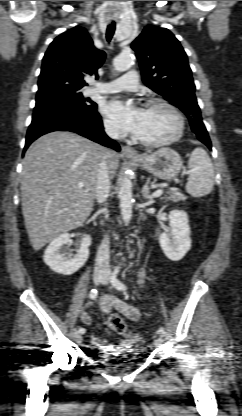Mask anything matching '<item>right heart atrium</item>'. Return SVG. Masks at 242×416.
Here are the masks:
<instances>
[{"label":"right heart atrium","mask_w":242,"mask_h":416,"mask_svg":"<svg viewBox=\"0 0 242 416\" xmlns=\"http://www.w3.org/2000/svg\"><path fill=\"white\" fill-rule=\"evenodd\" d=\"M104 127L106 132L111 135V136H119L120 135V131L117 128V126L109 119H106L104 121Z\"/></svg>","instance_id":"obj_1"}]
</instances>
